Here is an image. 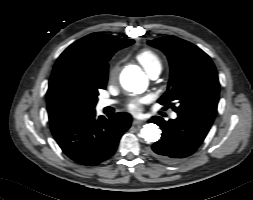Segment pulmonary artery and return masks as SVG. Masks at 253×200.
I'll use <instances>...</instances> for the list:
<instances>
[{
	"label": "pulmonary artery",
	"mask_w": 253,
	"mask_h": 200,
	"mask_svg": "<svg viewBox=\"0 0 253 200\" xmlns=\"http://www.w3.org/2000/svg\"><path fill=\"white\" fill-rule=\"evenodd\" d=\"M160 72H161L160 70H155V71L149 72L148 75H149V77H150L151 79H156V78L159 76ZM115 103H116V101L111 100V99H101V100L98 102V108L103 109V108H105V107L112 106V105H114ZM171 118H172V119H176V118H177V114H176L175 112H173V113L171 114Z\"/></svg>",
	"instance_id": "obj_1"
}]
</instances>
